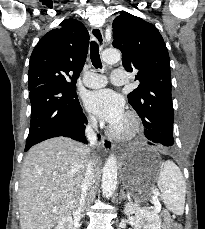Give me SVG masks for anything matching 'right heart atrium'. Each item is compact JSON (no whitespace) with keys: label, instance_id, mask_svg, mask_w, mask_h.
I'll list each match as a JSON object with an SVG mask.
<instances>
[{"label":"right heart atrium","instance_id":"right-heart-atrium-1","mask_svg":"<svg viewBox=\"0 0 205 229\" xmlns=\"http://www.w3.org/2000/svg\"><path fill=\"white\" fill-rule=\"evenodd\" d=\"M86 121H87V123L88 124H90V125H93L94 124V118L93 117H91V116H87L86 117Z\"/></svg>","mask_w":205,"mask_h":229}]
</instances>
